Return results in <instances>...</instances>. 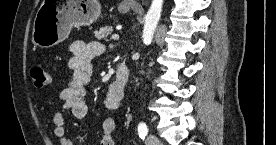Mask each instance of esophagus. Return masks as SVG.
<instances>
[{
	"mask_svg": "<svg viewBox=\"0 0 276 145\" xmlns=\"http://www.w3.org/2000/svg\"><path fill=\"white\" fill-rule=\"evenodd\" d=\"M127 3L132 4V5H135V4H136V2L133 1V0H128Z\"/></svg>",
	"mask_w": 276,
	"mask_h": 145,
	"instance_id": "obj_1",
	"label": "esophagus"
}]
</instances>
